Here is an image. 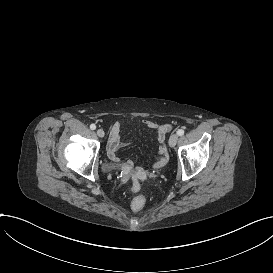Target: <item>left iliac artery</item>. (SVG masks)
Returning a JSON list of instances; mask_svg holds the SVG:
<instances>
[{"mask_svg":"<svg viewBox=\"0 0 273 273\" xmlns=\"http://www.w3.org/2000/svg\"><path fill=\"white\" fill-rule=\"evenodd\" d=\"M177 134H178L179 136L184 135V130H183V129H179V130L177 131Z\"/></svg>","mask_w":273,"mask_h":273,"instance_id":"1","label":"left iliac artery"}]
</instances>
